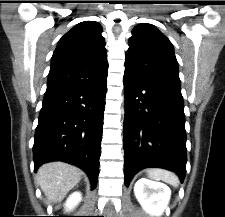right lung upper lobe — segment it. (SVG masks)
I'll list each match as a JSON object with an SVG mask.
<instances>
[{
    "label": "right lung upper lobe",
    "mask_w": 225,
    "mask_h": 217,
    "mask_svg": "<svg viewBox=\"0 0 225 217\" xmlns=\"http://www.w3.org/2000/svg\"><path fill=\"white\" fill-rule=\"evenodd\" d=\"M101 33L98 22L84 21L59 40L45 94L89 86L107 77V52Z\"/></svg>",
    "instance_id": "1"
}]
</instances>
